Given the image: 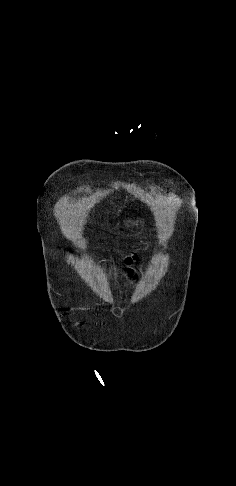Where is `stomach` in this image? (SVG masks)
Segmentation results:
<instances>
[{
  "instance_id": "stomach-1",
  "label": "stomach",
  "mask_w": 236,
  "mask_h": 486,
  "mask_svg": "<svg viewBox=\"0 0 236 486\" xmlns=\"http://www.w3.org/2000/svg\"><path fill=\"white\" fill-rule=\"evenodd\" d=\"M123 225L126 227V228H135V227H139V226H143L144 225V219L142 218H126L124 221H123Z\"/></svg>"
}]
</instances>
